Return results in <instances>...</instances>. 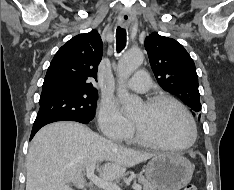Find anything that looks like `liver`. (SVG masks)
I'll return each instance as SVG.
<instances>
[{
  "label": "liver",
  "mask_w": 234,
  "mask_h": 190,
  "mask_svg": "<svg viewBox=\"0 0 234 190\" xmlns=\"http://www.w3.org/2000/svg\"><path fill=\"white\" fill-rule=\"evenodd\" d=\"M153 153L135 151L109 141L75 122H56L40 129L27 155L26 190H73L83 188V173L91 164L106 162L100 175L105 180L121 177L127 167Z\"/></svg>",
  "instance_id": "liver-1"
}]
</instances>
